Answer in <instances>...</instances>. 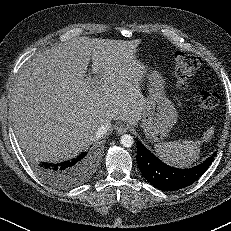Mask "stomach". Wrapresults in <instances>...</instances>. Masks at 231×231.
<instances>
[{
    "label": "stomach",
    "mask_w": 231,
    "mask_h": 231,
    "mask_svg": "<svg viewBox=\"0 0 231 231\" xmlns=\"http://www.w3.org/2000/svg\"><path fill=\"white\" fill-rule=\"evenodd\" d=\"M148 96L141 115V127L149 142L165 139L177 122L175 105L166 96V80L157 70L146 73Z\"/></svg>",
    "instance_id": "0dacf381"
}]
</instances>
